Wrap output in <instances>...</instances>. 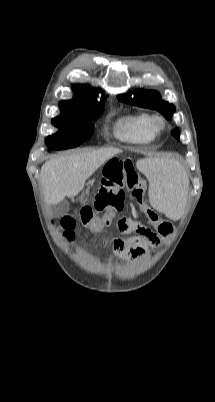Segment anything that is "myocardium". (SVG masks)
<instances>
[{
  "label": "myocardium",
  "mask_w": 215,
  "mask_h": 402,
  "mask_svg": "<svg viewBox=\"0 0 215 402\" xmlns=\"http://www.w3.org/2000/svg\"><path fill=\"white\" fill-rule=\"evenodd\" d=\"M165 119L160 114L150 116V125L155 132L162 130L165 127Z\"/></svg>",
  "instance_id": "myocardium-1"
}]
</instances>
